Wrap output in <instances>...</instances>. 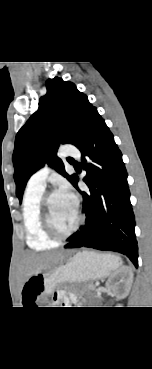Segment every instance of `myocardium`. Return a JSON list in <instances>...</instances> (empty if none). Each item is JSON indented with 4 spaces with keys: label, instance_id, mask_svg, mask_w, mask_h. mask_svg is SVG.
I'll use <instances>...</instances> for the list:
<instances>
[{
    "label": "myocardium",
    "instance_id": "myocardium-1",
    "mask_svg": "<svg viewBox=\"0 0 152 369\" xmlns=\"http://www.w3.org/2000/svg\"><path fill=\"white\" fill-rule=\"evenodd\" d=\"M55 194H57V192H50V193L43 195L41 202H40L41 222H42L43 229L45 230V232L51 239L55 241H62L72 236L80 228L83 222V215L79 209V206L76 205L77 218H76L75 224L67 232L58 231L53 223L50 205H49L51 197Z\"/></svg>",
    "mask_w": 152,
    "mask_h": 369
}]
</instances>
